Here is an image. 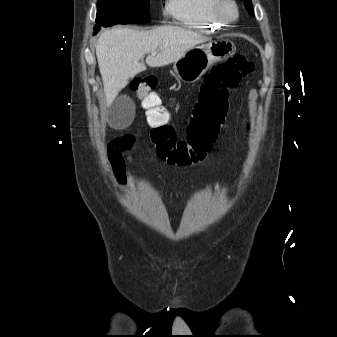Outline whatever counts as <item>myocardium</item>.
I'll return each instance as SVG.
<instances>
[{"mask_svg": "<svg viewBox=\"0 0 337 337\" xmlns=\"http://www.w3.org/2000/svg\"><path fill=\"white\" fill-rule=\"evenodd\" d=\"M216 13L227 23L235 22L240 15L239 5L236 0H218Z\"/></svg>", "mask_w": 337, "mask_h": 337, "instance_id": "myocardium-1", "label": "myocardium"}]
</instances>
